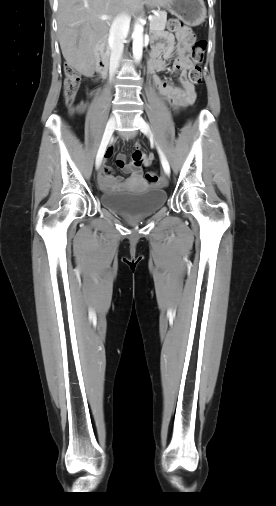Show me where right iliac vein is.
<instances>
[{"label":"right iliac vein","mask_w":276,"mask_h":506,"mask_svg":"<svg viewBox=\"0 0 276 506\" xmlns=\"http://www.w3.org/2000/svg\"><path fill=\"white\" fill-rule=\"evenodd\" d=\"M115 126H116V119L114 116H111L110 119L108 120L107 125H106V129H105V132H104V135H103V138H102V141H101V144H100L97 156H96V162L98 161V159L103 158L106 146L113 134ZM99 166L100 165H98L97 168Z\"/></svg>","instance_id":"obj_1"}]
</instances>
